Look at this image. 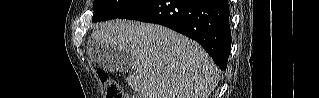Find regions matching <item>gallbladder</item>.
Segmentation results:
<instances>
[{"instance_id":"gallbladder-1","label":"gallbladder","mask_w":319,"mask_h":98,"mask_svg":"<svg viewBox=\"0 0 319 98\" xmlns=\"http://www.w3.org/2000/svg\"><path fill=\"white\" fill-rule=\"evenodd\" d=\"M90 55H93L95 63L106 69L127 73L133 68L134 61L130 54L105 45H96L93 49L91 48Z\"/></svg>"}]
</instances>
